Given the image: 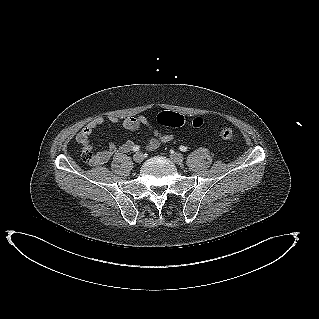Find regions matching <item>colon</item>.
Returning <instances> with one entry per match:
<instances>
[{
    "label": "colon",
    "instance_id": "colon-1",
    "mask_svg": "<svg viewBox=\"0 0 319 319\" xmlns=\"http://www.w3.org/2000/svg\"><path fill=\"white\" fill-rule=\"evenodd\" d=\"M157 122L165 127H181L185 123V118L179 113L172 111H163L157 115ZM204 124L203 118L197 117L191 121L193 127H201ZM218 132L222 139L226 141H235L237 138L234 130L224 124L218 125ZM84 161L90 163L93 160V153L90 151H82Z\"/></svg>",
    "mask_w": 319,
    "mask_h": 319
}]
</instances>
